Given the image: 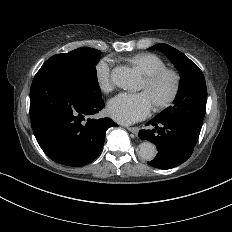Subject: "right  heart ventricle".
I'll return each instance as SVG.
<instances>
[{
	"instance_id": "right-heart-ventricle-1",
	"label": "right heart ventricle",
	"mask_w": 232,
	"mask_h": 232,
	"mask_svg": "<svg viewBox=\"0 0 232 232\" xmlns=\"http://www.w3.org/2000/svg\"><path fill=\"white\" fill-rule=\"evenodd\" d=\"M132 61L141 69L144 76L166 68L165 62L153 53H139L132 58Z\"/></svg>"
}]
</instances>
